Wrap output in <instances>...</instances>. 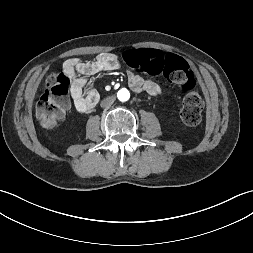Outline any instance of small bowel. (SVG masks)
Returning <instances> with one entry per match:
<instances>
[{
	"label": "small bowel",
	"instance_id": "c3829d8e",
	"mask_svg": "<svg viewBox=\"0 0 253 253\" xmlns=\"http://www.w3.org/2000/svg\"><path fill=\"white\" fill-rule=\"evenodd\" d=\"M119 65V57L113 53H101L92 61L83 62L70 58L64 62V73L70 78V93L77 111L88 112L99 100L95 89H86L88 78L102 71H115ZM128 84L134 91L145 92L151 96H156L161 91L158 84L134 72L128 73Z\"/></svg>",
	"mask_w": 253,
	"mask_h": 253
}]
</instances>
